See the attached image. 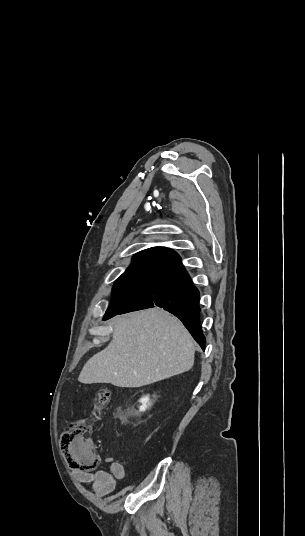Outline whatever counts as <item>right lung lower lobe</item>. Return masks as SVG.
Returning <instances> with one entry per match:
<instances>
[{
  "label": "right lung lower lobe",
  "instance_id": "1",
  "mask_svg": "<svg viewBox=\"0 0 305 536\" xmlns=\"http://www.w3.org/2000/svg\"><path fill=\"white\" fill-rule=\"evenodd\" d=\"M159 306L177 316L190 331L196 342L205 349V337L200 325L199 291L186 270L164 278L149 292L124 310L105 316L107 320L117 314Z\"/></svg>",
  "mask_w": 305,
  "mask_h": 536
}]
</instances>
